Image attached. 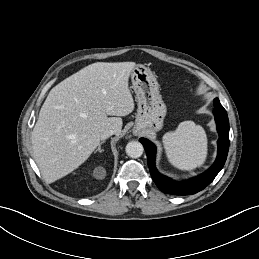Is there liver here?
<instances>
[{"label":"liver","instance_id":"liver-1","mask_svg":"<svg viewBox=\"0 0 259 259\" xmlns=\"http://www.w3.org/2000/svg\"><path fill=\"white\" fill-rule=\"evenodd\" d=\"M135 67L134 62L93 63L51 89L32 132L33 157L46 182L84 163L106 129L120 135V117L135 106L128 87Z\"/></svg>","mask_w":259,"mask_h":259}]
</instances>
